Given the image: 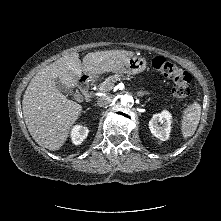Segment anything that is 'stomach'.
<instances>
[{
    "label": "stomach",
    "mask_w": 221,
    "mask_h": 221,
    "mask_svg": "<svg viewBox=\"0 0 221 221\" xmlns=\"http://www.w3.org/2000/svg\"><path fill=\"white\" fill-rule=\"evenodd\" d=\"M147 67V62L144 58L134 56L129 58L121 66H119L114 72L125 74H138L143 72Z\"/></svg>",
    "instance_id": "1"
}]
</instances>
